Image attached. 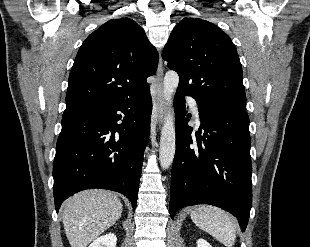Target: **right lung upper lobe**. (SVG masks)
Masks as SVG:
<instances>
[{"label": "right lung upper lobe", "mask_w": 310, "mask_h": 247, "mask_svg": "<svg viewBox=\"0 0 310 247\" xmlns=\"http://www.w3.org/2000/svg\"><path fill=\"white\" fill-rule=\"evenodd\" d=\"M158 55L132 19L109 20L81 45L70 71L66 109L122 100L149 89Z\"/></svg>", "instance_id": "1"}]
</instances>
